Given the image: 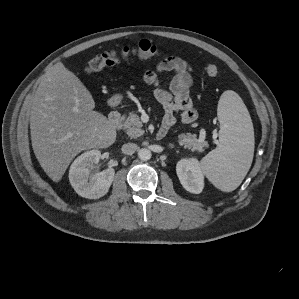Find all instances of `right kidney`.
<instances>
[{
	"label": "right kidney",
	"instance_id": "right-kidney-1",
	"mask_svg": "<svg viewBox=\"0 0 299 299\" xmlns=\"http://www.w3.org/2000/svg\"><path fill=\"white\" fill-rule=\"evenodd\" d=\"M100 157V151L90 150L78 156L70 166V183L81 197L98 199L108 192L113 182V168L95 172V164H98Z\"/></svg>",
	"mask_w": 299,
	"mask_h": 299
}]
</instances>
